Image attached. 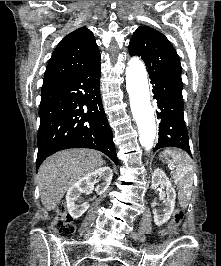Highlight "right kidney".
Listing matches in <instances>:
<instances>
[{
    "label": "right kidney",
    "instance_id": "right-kidney-1",
    "mask_svg": "<svg viewBox=\"0 0 221 266\" xmlns=\"http://www.w3.org/2000/svg\"><path fill=\"white\" fill-rule=\"evenodd\" d=\"M113 177V172L110 167H100L81 179H79L76 183L69 187L67 194H66V203L68 212L73 218L81 217L85 211L89 208V203L85 202L81 205H77L76 203L80 201V194L83 192H87L89 189L94 188L95 184L97 185L95 191L97 193H104L109 185L111 184Z\"/></svg>",
    "mask_w": 221,
    "mask_h": 266
}]
</instances>
